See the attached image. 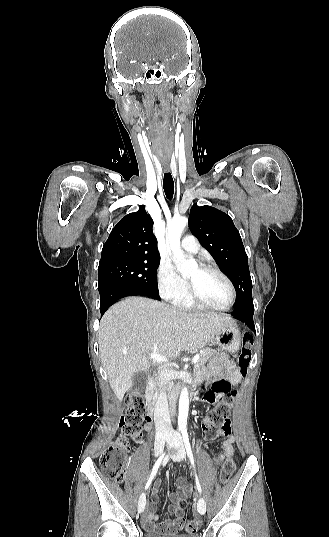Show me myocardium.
<instances>
[{
    "label": "myocardium",
    "mask_w": 329,
    "mask_h": 537,
    "mask_svg": "<svg viewBox=\"0 0 329 537\" xmlns=\"http://www.w3.org/2000/svg\"><path fill=\"white\" fill-rule=\"evenodd\" d=\"M199 267L201 269H203V270L216 273L217 275H219L226 282V284L228 285V288L230 290V301L224 307H217V306L210 305V304L206 303L205 301H203L195 293L191 283L189 282L188 283V289H189V297H190V299L198 307L204 308V309L215 310V311H228L229 309H231L234 306L235 302H236L237 295H236L235 287H234L232 281L230 280V278L223 271H221L219 268H217L214 265L202 263V264L199 265Z\"/></svg>",
    "instance_id": "myocardium-1"
}]
</instances>
